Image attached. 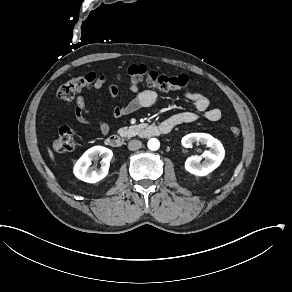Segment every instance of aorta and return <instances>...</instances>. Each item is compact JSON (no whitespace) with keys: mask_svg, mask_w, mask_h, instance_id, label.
I'll return each instance as SVG.
<instances>
[{"mask_svg":"<svg viewBox=\"0 0 292 292\" xmlns=\"http://www.w3.org/2000/svg\"><path fill=\"white\" fill-rule=\"evenodd\" d=\"M160 146V142L158 139L156 138H151L149 141H148V148L150 150H157Z\"/></svg>","mask_w":292,"mask_h":292,"instance_id":"aorta-1","label":"aorta"}]
</instances>
